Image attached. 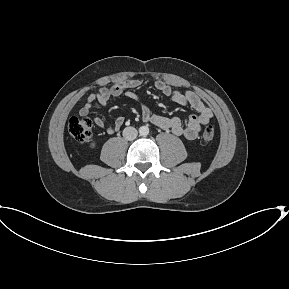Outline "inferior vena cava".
Instances as JSON below:
<instances>
[{
  "instance_id": "inferior-vena-cava-1",
  "label": "inferior vena cava",
  "mask_w": 289,
  "mask_h": 289,
  "mask_svg": "<svg viewBox=\"0 0 289 289\" xmlns=\"http://www.w3.org/2000/svg\"><path fill=\"white\" fill-rule=\"evenodd\" d=\"M138 135V132L137 130L134 128V127H126L124 130H123V137L126 139V140H134Z\"/></svg>"
}]
</instances>
